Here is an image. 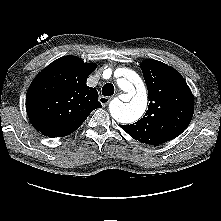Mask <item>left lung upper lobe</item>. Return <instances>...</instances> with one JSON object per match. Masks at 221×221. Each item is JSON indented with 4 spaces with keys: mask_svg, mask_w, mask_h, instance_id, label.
Returning a JSON list of instances; mask_svg holds the SVG:
<instances>
[{
    "mask_svg": "<svg viewBox=\"0 0 221 221\" xmlns=\"http://www.w3.org/2000/svg\"><path fill=\"white\" fill-rule=\"evenodd\" d=\"M141 70L148 88V110L136 123L120 127L135 140L159 145L187 128L193 116L194 97L181 74L165 63L144 60Z\"/></svg>",
    "mask_w": 221,
    "mask_h": 221,
    "instance_id": "left-lung-upper-lobe-1",
    "label": "left lung upper lobe"
}]
</instances>
